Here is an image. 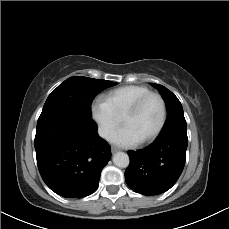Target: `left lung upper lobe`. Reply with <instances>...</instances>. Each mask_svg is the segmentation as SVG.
Instances as JSON below:
<instances>
[{
  "label": "left lung upper lobe",
  "mask_w": 229,
  "mask_h": 229,
  "mask_svg": "<svg viewBox=\"0 0 229 229\" xmlns=\"http://www.w3.org/2000/svg\"><path fill=\"white\" fill-rule=\"evenodd\" d=\"M158 89L161 96L165 100L167 108V119L164 129L160 136L165 135L176 128H186L183 108L178 98L167 88L159 84H153Z\"/></svg>",
  "instance_id": "5c2ea615"
}]
</instances>
